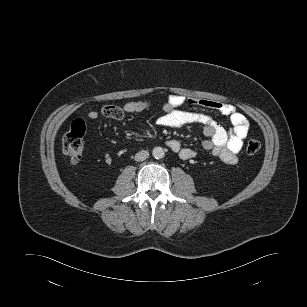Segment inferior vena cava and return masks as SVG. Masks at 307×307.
Listing matches in <instances>:
<instances>
[{
	"instance_id": "602c4592",
	"label": "inferior vena cava",
	"mask_w": 307,
	"mask_h": 307,
	"mask_svg": "<svg viewBox=\"0 0 307 307\" xmlns=\"http://www.w3.org/2000/svg\"><path fill=\"white\" fill-rule=\"evenodd\" d=\"M149 156V152L146 151V150H142V151H139L138 153H136L135 155V161H143L145 159H147Z\"/></svg>"
}]
</instances>
